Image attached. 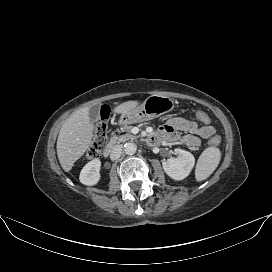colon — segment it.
Wrapping results in <instances>:
<instances>
[{
	"label": "colon",
	"mask_w": 272,
	"mask_h": 272,
	"mask_svg": "<svg viewBox=\"0 0 272 272\" xmlns=\"http://www.w3.org/2000/svg\"><path fill=\"white\" fill-rule=\"evenodd\" d=\"M109 116V110L107 108H103L101 110L100 121L96 125L94 136L90 147L86 153L88 159H95L99 157L106 145L108 132L106 120ZM195 118L203 124H208L210 122L209 116L202 111H198L194 114ZM209 143L211 145H218L220 143V137L214 136L210 139Z\"/></svg>",
	"instance_id": "colon-1"
}]
</instances>
